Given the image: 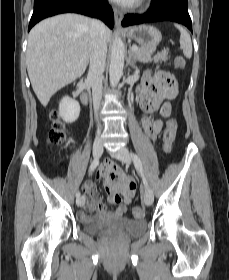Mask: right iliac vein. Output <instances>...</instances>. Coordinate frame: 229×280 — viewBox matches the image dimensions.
<instances>
[{"label": "right iliac vein", "instance_id": "63e3f726", "mask_svg": "<svg viewBox=\"0 0 229 280\" xmlns=\"http://www.w3.org/2000/svg\"><path fill=\"white\" fill-rule=\"evenodd\" d=\"M103 153V146L100 141H95L93 144V156L94 158H99ZM85 203L84 197H80L76 200V204L78 207H82Z\"/></svg>", "mask_w": 229, "mask_h": 280}]
</instances>
